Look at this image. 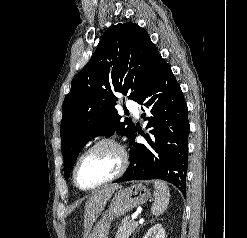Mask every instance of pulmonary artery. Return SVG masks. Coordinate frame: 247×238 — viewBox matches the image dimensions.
I'll return each instance as SVG.
<instances>
[{
	"instance_id": "1",
	"label": "pulmonary artery",
	"mask_w": 247,
	"mask_h": 238,
	"mask_svg": "<svg viewBox=\"0 0 247 238\" xmlns=\"http://www.w3.org/2000/svg\"><path fill=\"white\" fill-rule=\"evenodd\" d=\"M128 109L136 116L139 117V109H138V105L134 102V101H127L126 103Z\"/></svg>"
}]
</instances>
